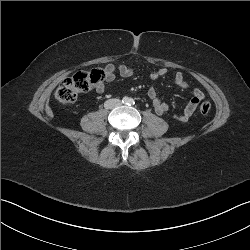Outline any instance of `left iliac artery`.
<instances>
[{
  "label": "left iliac artery",
  "mask_w": 250,
  "mask_h": 250,
  "mask_svg": "<svg viewBox=\"0 0 250 250\" xmlns=\"http://www.w3.org/2000/svg\"><path fill=\"white\" fill-rule=\"evenodd\" d=\"M135 104V101L133 99H130L129 100V105H134Z\"/></svg>",
  "instance_id": "1"
}]
</instances>
